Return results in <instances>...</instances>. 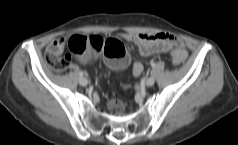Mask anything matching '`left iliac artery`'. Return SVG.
I'll return each mask as SVG.
<instances>
[{"mask_svg": "<svg viewBox=\"0 0 238 145\" xmlns=\"http://www.w3.org/2000/svg\"><path fill=\"white\" fill-rule=\"evenodd\" d=\"M151 66H152V67H155V63H151Z\"/></svg>", "mask_w": 238, "mask_h": 145, "instance_id": "44dca946", "label": "left iliac artery"}]
</instances>
